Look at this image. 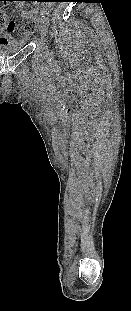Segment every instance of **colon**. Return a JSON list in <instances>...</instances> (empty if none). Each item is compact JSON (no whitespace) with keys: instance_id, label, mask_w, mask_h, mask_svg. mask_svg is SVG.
<instances>
[{"instance_id":"obj_1","label":"colon","mask_w":131,"mask_h":311,"mask_svg":"<svg viewBox=\"0 0 131 311\" xmlns=\"http://www.w3.org/2000/svg\"><path fill=\"white\" fill-rule=\"evenodd\" d=\"M9 24V20L7 16H5L2 12H0V28ZM35 28V24L30 22H22L19 25V29L25 32L32 31Z\"/></svg>"}]
</instances>
